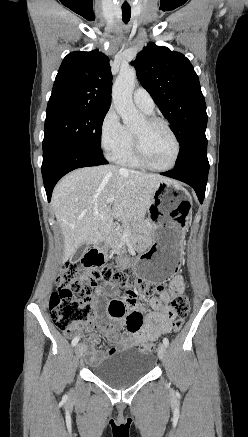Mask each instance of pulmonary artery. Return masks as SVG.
Wrapping results in <instances>:
<instances>
[{"label":"pulmonary artery","instance_id":"obj_1","mask_svg":"<svg viewBox=\"0 0 248 437\" xmlns=\"http://www.w3.org/2000/svg\"><path fill=\"white\" fill-rule=\"evenodd\" d=\"M135 105L147 114L154 111V101L150 94L144 88H137L133 93Z\"/></svg>","mask_w":248,"mask_h":437}]
</instances>
